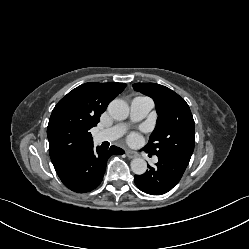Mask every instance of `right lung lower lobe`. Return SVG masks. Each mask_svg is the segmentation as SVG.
<instances>
[{"instance_id":"obj_1","label":"right lung lower lobe","mask_w":249,"mask_h":249,"mask_svg":"<svg viewBox=\"0 0 249 249\" xmlns=\"http://www.w3.org/2000/svg\"><path fill=\"white\" fill-rule=\"evenodd\" d=\"M124 154V150L111 146L109 150L93 144L78 155L61 173L58 174L63 184L77 193L89 192L95 189L102 181L108 158L114 154Z\"/></svg>"}]
</instances>
